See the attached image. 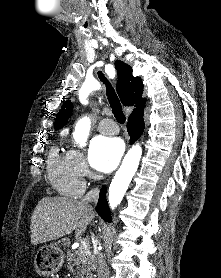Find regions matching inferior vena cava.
<instances>
[{
	"label": "inferior vena cava",
	"mask_w": 221,
	"mask_h": 278,
	"mask_svg": "<svg viewBox=\"0 0 221 278\" xmlns=\"http://www.w3.org/2000/svg\"><path fill=\"white\" fill-rule=\"evenodd\" d=\"M98 197V188L92 189L85 195L83 202L86 204L91 201L96 203L98 201ZM93 238L94 236L92 235V239ZM92 262L97 269L98 278H109V268L103 259V255L96 249V246L94 248V254L92 255Z\"/></svg>",
	"instance_id": "obj_1"
}]
</instances>
